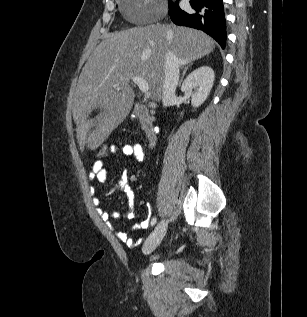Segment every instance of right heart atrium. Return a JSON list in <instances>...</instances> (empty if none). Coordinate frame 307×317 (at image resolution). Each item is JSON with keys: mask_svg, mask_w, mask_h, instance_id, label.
<instances>
[{"mask_svg": "<svg viewBox=\"0 0 307 317\" xmlns=\"http://www.w3.org/2000/svg\"><path fill=\"white\" fill-rule=\"evenodd\" d=\"M154 0H137L131 10L132 17L135 19L146 17L151 12V5Z\"/></svg>", "mask_w": 307, "mask_h": 317, "instance_id": "obj_1", "label": "right heart atrium"}]
</instances>
